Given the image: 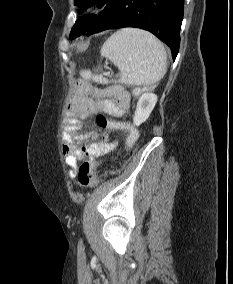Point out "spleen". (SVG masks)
<instances>
[{
	"instance_id": "3e777b00",
	"label": "spleen",
	"mask_w": 233,
	"mask_h": 284,
	"mask_svg": "<svg viewBox=\"0 0 233 284\" xmlns=\"http://www.w3.org/2000/svg\"><path fill=\"white\" fill-rule=\"evenodd\" d=\"M101 56L118 67V82L122 84L150 87L166 73L167 56L163 44L141 29L124 28L111 35L101 48ZM94 79L108 82L99 76Z\"/></svg>"
}]
</instances>
